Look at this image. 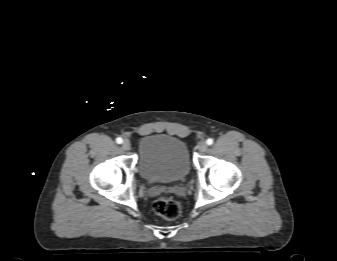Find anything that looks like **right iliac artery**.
<instances>
[{
  "instance_id": "82829eb1",
  "label": "right iliac artery",
  "mask_w": 337,
  "mask_h": 261,
  "mask_svg": "<svg viewBox=\"0 0 337 261\" xmlns=\"http://www.w3.org/2000/svg\"><path fill=\"white\" fill-rule=\"evenodd\" d=\"M116 142H117L118 144H121V143L123 142V139H122L121 137H118V138L116 139Z\"/></svg>"
}]
</instances>
